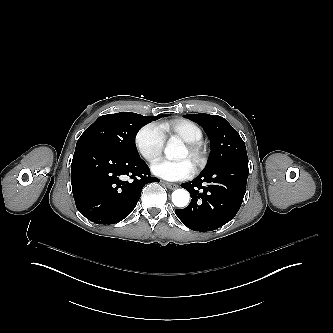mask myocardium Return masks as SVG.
Wrapping results in <instances>:
<instances>
[{"mask_svg":"<svg viewBox=\"0 0 333 333\" xmlns=\"http://www.w3.org/2000/svg\"><path fill=\"white\" fill-rule=\"evenodd\" d=\"M186 148L193 159L195 170H201L207 162L208 152L205 144L202 141L188 142L186 143Z\"/></svg>","mask_w":333,"mask_h":333,"instance_id":"f54148a6","label":"myocardium"}]
</instances>
